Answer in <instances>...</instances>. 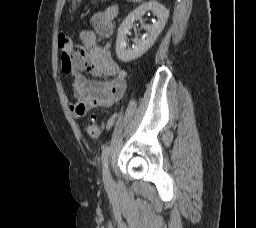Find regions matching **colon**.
Listing matches in <instances>:
<instances>
[{"mask_svg": "<svg viewBox=\"0 0 256 228\" xmlns=\"http://www.w3.org/2000/svg\"><path fill=\"white\" fill-rule=\"evenodd\" d=\"M59 47L66 53L70 54L74 50V45L70 37L60 35L58 39ZM101 129L94 118L90 119L86 125V133L91 138L99 137Z\"/></svg>", "mask_w": 256, "mask_h": 228, "instance_id": "1", "label": "colon"}]
</instances>
